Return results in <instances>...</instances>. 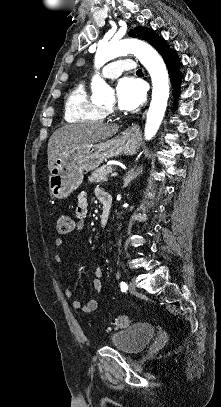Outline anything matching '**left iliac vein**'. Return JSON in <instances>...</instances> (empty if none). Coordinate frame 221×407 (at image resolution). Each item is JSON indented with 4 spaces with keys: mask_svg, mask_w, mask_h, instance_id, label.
Segmentation results:
<instances>
[{
    "mask_svg": "<svg viewBox=\"0 0 221 407\" xmlns=\"http://www.w3.org/2000/svg\"><path fill=\"white\" fill-rule=\"evenodd\" d=\"M129 292L131 294H135L136 293V285L134 283V281H131L129 284Z\"/></svg>",
    "mask_w": 221,
    "mask_h": 407,
    "instance_id": "left-iliac-vein-1",
    "label": "left iliac vein"
}]
</instances>
